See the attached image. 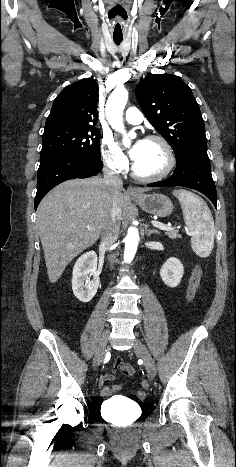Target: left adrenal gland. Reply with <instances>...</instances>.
Wrapping results in <instances>:
<instances>
[{
  "mask_svg": "<svg viewBox=\"0 0 236 467\" xmlns=\"http://www.w3.org/2000/svg\"><path fill=\"white\" fill-rule=\"evenodd\" d=\"M144 228H145V234H146L147 236H151V234H158V233H159V232H158L157 230H155V229H148V224H145Z\"/></svg>",
  "mask_w": 236,
  "mask_h": 467,
  "instance_id": "obj_1",
  "label": "left adrenal gland"
}]
</instances>
